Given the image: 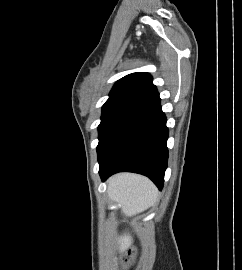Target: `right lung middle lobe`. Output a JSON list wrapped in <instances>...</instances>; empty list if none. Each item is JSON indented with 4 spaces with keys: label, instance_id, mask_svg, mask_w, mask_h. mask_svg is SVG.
I'll list each match as a JSON object with an SVG mask.
<instances>
[{
    "label": "right lung middle lobe",
    "instance_id": "dd1d6c3e",
    "mask_svg": "<svg viewBox=\"0 0 242 270\" xmlns=\"http://www.w3.org/2000/svg\"><path fill=\"white\" fill-rule=\"evenodd\" d=\"M136 106L116 104L103 106L101 123L98 126L99 144L97 146L98 157L109 146L123 123L136 109Z\"/></svg>",
    "mask_w": 242,
    "mask_h": 270
}]
</instances>
